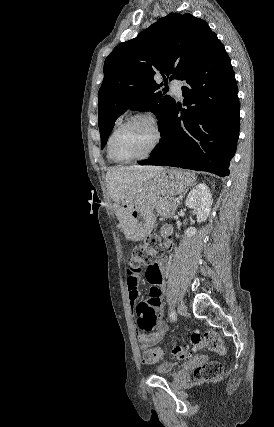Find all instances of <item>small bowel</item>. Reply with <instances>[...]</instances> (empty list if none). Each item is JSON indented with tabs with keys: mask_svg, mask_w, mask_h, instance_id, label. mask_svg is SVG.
Segmentation results:
<instances>
[{
	"mask_svg": "<svg viewBox=\"0 0 274 427\" xmlns=\"http://www.w3.org/2000/svg\"><path fill=\"white\" fill-rule=\"evenodd\" d=\"M159 267L161 277L157 276L156 266L151 264L147 269L142 270H129L127 278V295L128 300L133 307L139 297L138 283L140 277L148 278L151 284V289L148 291V299H140L139 304L135 305L134 319L136 326L141 327L142 332H155L153 334L137 333V340L139 347L142 349L143 345H154L166 333L168 325L164 318L162 305L160 304L159 294L165 288V271L169 264V258L156 261ZM151 313V315H149ZM151 316V322L146 320Z\"/></svg>",
	"mask_w": 274,
	"mask_h": 427,
	"instance_id": "small-bowel-1",
	"label": "small bowel"
}]
</instances>
